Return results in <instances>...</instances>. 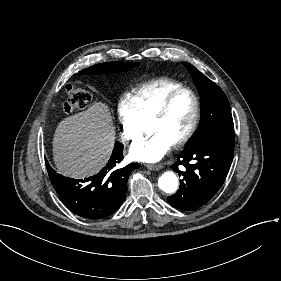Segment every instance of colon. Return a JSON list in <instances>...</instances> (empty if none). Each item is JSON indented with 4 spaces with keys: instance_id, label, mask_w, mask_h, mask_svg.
<instances>
[{
    "instance_id": "5ec220e1",
    "label": "colon",
    "mask_w": 281,
    "mask_h": 281,
    "mask_svg": "<svg viewBox=\"0 0 281 281\" xmlns=\"http://www.w3.org/2000/svg\"><path fill=\"white\" fill-rule=\"evenodd\" d=\"M68 98L63 104L66 113H73L77 109L86 107L91 101V94L74 86L67 88Z\"/></svg>"
}]
</instances>
